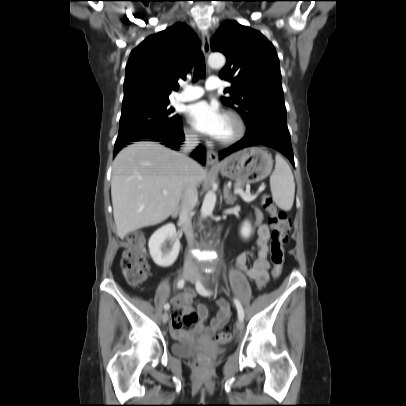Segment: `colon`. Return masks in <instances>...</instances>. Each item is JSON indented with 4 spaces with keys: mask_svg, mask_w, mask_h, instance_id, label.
Instances as JSON below:
<instances>
[{
    "mask_svg": "<svg viewBox=\"0 0 406 406\" xmlns=\"http://www.w3.org/2000/svg\"><path fill=\"white\" fill-rule=\"evenodd\" d=\"M263 206L268 213V220L273 227L270 244L271 261L273 264L272 277L277 279L282 272L284 263V245L288 240L289 220L286 212L278 209L272 198L264 195ZM121 270L127 284L136 286L145 281L148 275V265L145 258V239L142 234L134 232L129 235L128 244L121 258ZM196 318L195 313H173L171 323L176 328H181L182 323L190 324ZM231 337L229 331L217 334L216 340L220 343L227 342Z\"/></svg>",
    "mask_w": 406,
    "mask_h": 406,
    "instance_id": "5ec220e1",
    "label": "colon"
}]
</instances>
